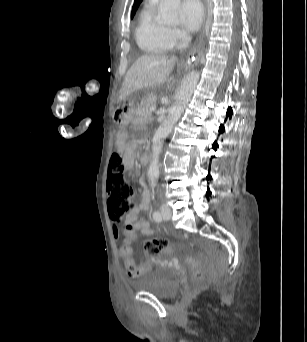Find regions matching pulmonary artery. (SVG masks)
<instances>
[{
  "label": "pulmonary artery",
  "instance_id": "1",
  "mask_svg": "<svg viewBox=\"0 0 307 342\" xmlns=\"http://www.w3.org/2000/svg\"><path fill=\"white\" fill-rule=\"evenodd\" d=\"M150 2H152V5H154V4H155L156 2H158V1H150ZM152 11H153V9H152V8H149V9L145 12V15L148 16L149 14L152 13Z\"/></svg>",
  "mask_w": 307,
  "mask_h": 342
}]
</instances>
